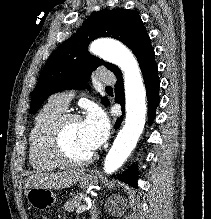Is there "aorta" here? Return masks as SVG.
<instances>
[{
	"label": "aorta",
	"mask_w": 211,
	"mask_h": 219,
	"mask_svg": "<svg viewBox=\"0 0 211 219\" xmlns=\"http://www.w3.org/2000/svg\"><path fill=\"white\" fill-rule=\"evenodd\" d=\"M90 52L117 65L124 73L125 124L114 140L104 162V171L111 174L123 165L142 134L147 111L146 91L138 63L124 45L112 40H97L91 44Z\"/></svg>",
	"instance_id": "762f6f07"
}]
</instances>
